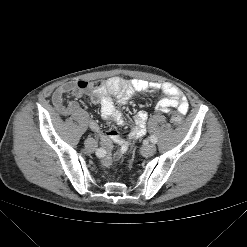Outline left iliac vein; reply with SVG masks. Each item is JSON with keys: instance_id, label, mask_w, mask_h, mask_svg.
<instances>
[{"instance_id": "4c4485c4", "label": "left iliac vein", "mask_w": 247, "mask_h": 247, "mask_svg": "<svg viewBox=\"0 0 247 247\" xmlns=\"http://www.w3.org/2000/svg\"><path fill=\"white\" fill-rule=\"evenodd\" d=\"M141 152L144 156H152L156 152V146L154 144L146 145Z\"/></svg>"}]
</instances>
